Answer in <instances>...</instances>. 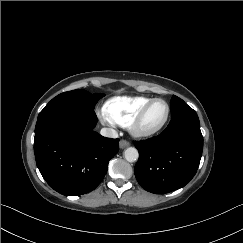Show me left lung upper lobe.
Listing matches in <instances>:
<instances>
[{
  "label": "left lung upper lobe",
  "instance_id": "left-lung-upper-lobe-1",
  "mask_svg": "<svg viewBox=\"0 0 243 243\" xmlns=\"http://www.w3.org/2000/svg\"><path fill=\"white\" fill-rule=\"evenodd\" d=\"M184 116H197V114L182 99L173 95L171 99V121Z\"/></svg>",
  "mask_w": 243,
  "mask_h": 243
}]
</instances>
